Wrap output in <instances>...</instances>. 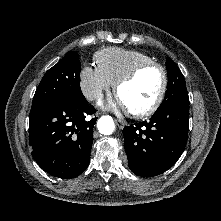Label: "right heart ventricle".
Returning <instances> with one entry per match:
<instances>
[{
    "label": "right heart ventricle",
    "instance_id": "1",
    "mask_svg": "<svg viewBox=\"0 0 221 221\" xmlns=\"http://www.w3.org/2000/svg\"><path fill=\"white\" fill-rule=\"evenodd\" d=\"M153 61L147 54L121 48H106L96 53V67L114 85L141 63Z\"/></svg>",
    "mask_w": 221,
    "mask_h": 221
}]
</instances>
